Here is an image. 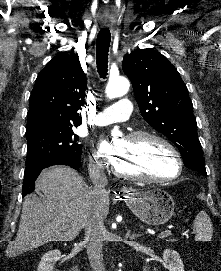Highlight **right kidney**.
<instances>
[{
	"label": "right kidney",
	"mask_w": 221,
	"mask_h": 271,
	"mask_svg": "<svg viewBox=\"0 0 221 271\" xmlns=\"http://www.w3.org/2000/svg\"><path fill=\"white\" fill-rule=\"evenodd\" d=\"M58 259H61L60 249H50V251L42 255L37 271H53Z\"/></svg>",
	"instance_id": "1"
}]
</instances>
